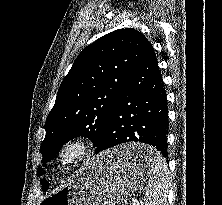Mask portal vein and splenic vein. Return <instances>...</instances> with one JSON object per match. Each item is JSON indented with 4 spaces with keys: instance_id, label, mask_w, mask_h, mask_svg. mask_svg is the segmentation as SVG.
I'll return each instance as SVG.
<instances>
[{
    "instance_id": "portal-vein-and-splenic-vein-1",
    "label": "portal vein and splenic vein",
    "mask_w": 222,
    "mask_h": 205,
    "mask_svg": "<svg viewBox=\"0 0 222 205\" xmlns=\"http://www.w3.org/2000/svg\"><path fill=\"white\" fill-rule=\"evenodd\" d=\"M132 202H133V205H135L136 202H137V199L136 198H132Z\"/></svg>"
}]
</instances>
